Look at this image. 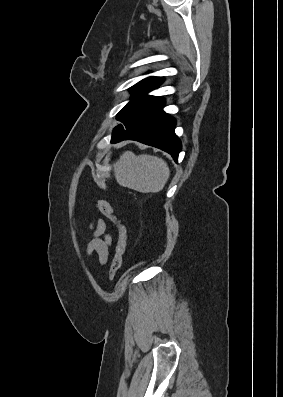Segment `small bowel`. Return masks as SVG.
I'll use <instances>...</instances> for the list:
<instances>
[{
    "instance_id": "1",
    "label": "small bowel",
    "mask_w": 283,
    "mask_h": 397,
    "mask_svg": "<svg viewBox=\"0 0 283 397\" xmlns=\"http://www.w3.org/2000/svg\"><path fill=\"white\" fill-rule=\"evenodd\" d=\"M94 236L88 244V253H96L100 264L104 265L109 256V248L112 238L106 233V224L102 219H96L92 224Z\"/></svg>"
}]
</instances>
